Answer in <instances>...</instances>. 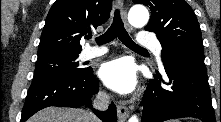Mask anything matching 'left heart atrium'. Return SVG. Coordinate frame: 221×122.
<instances>
[{
	"mask_svg": "<svg viewBox=\"0 0 221 122\" xmlns=\"http://www.w3.org/2000/svg\"><path fill=\"white\" fill-rule=\"evenodd\" d=\"M99 76L106 86L122 94L133 91L137 84L134 64L126 58L105 62Z\"/></svg>",
	"mask_w": 221,
	"mask_h": 122,
	"instance_id": "obj_1",
	"label": "left heart atrium"
}]
</instances>
